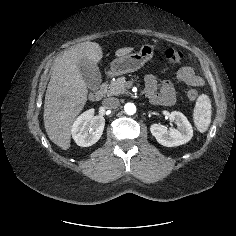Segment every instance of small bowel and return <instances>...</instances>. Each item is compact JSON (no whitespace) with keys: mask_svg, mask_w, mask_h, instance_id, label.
<instances>
[{"mask_svg":"<svg viewBox=\"0 0 236 236\" xmlns=\"http://www.w3.org/2000/svg\"><path fill=\"white\" fill-rule=\"evenodd\" d=\"M177 76L187 85L199 87L203 84L202 78L189 66L180 68ZM145 85L146 93L152 103L170 106L175 102V90L170 82L159 81L154 75L148 74L145 77Z\"/></svg>","mask_w":236,"mask_h":236,"instance_id":"obj_1","label":"small bowel"}]
</instances>
